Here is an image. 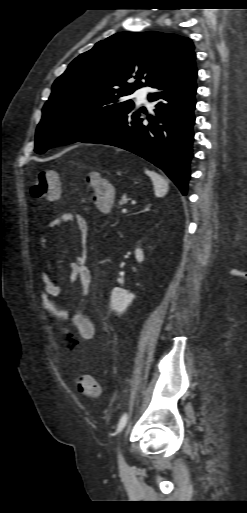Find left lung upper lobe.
<instances>
[{"label": "left lung upper lobe", "instance_id": "left-lung-upper-lobe-1", "mask_svg": "<svg viewBox=\"0 0 247 513\" xmlns=\"http://www.w3.org/2000/svg\"><path fill=\"white\" fill-rule=\"evenodd\" d=\"M192 57V41L176 34L121 32L98 42L55 80L36 130L35 152L110 127L134 107L125 96L173 76Z\"/></svg>", "mask_w": 247, "mask_h": 513}]
</instances>
